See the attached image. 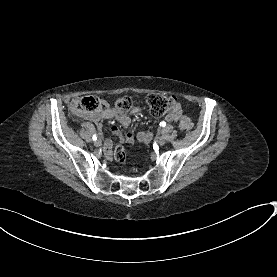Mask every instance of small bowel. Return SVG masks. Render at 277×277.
Listing matches in <instances>:
<instances>
[{
    "label": "small bowel",
    "mask_w": 277,
    "mask_h": 277,
    "mask_svg": "<svg viewBox=\"0 0 277 277\" xmlns=\"http://www.w3.org/2000/svg\"><path fill=\"white\" fill-rule=\"evenodd\" d=\"M79 99L75 98L71 101L70 109L74 114L79 115L81 118H83L86 121H90L95 123L99 130L102 131V122L107 119H115L117 120L123 127L127 128L131 123V118L133 116H138L142 113V109L140 107L133 108L129 113L125 115H121L118 113L115 107L111 106L106 101H101V107L96 112L91 113H80L77 110ZM181 118V110L178 105L166 115L165 120L167 122H176ZM127 137L132 136L131 129H127ZM112 133L118 137H121V134L117 128H112ZM138 139L142 142H149L152 139V133L151 132H139L137 135ZM124 143L129 146H133L135 144V140L133 138H126L124 140ZM104 154L106 158L112 159L115 156V153L113 151V140L110 137L105 138L104 140Z\"/></svg>",
    "instance_id": "1"
}]
</instances>
